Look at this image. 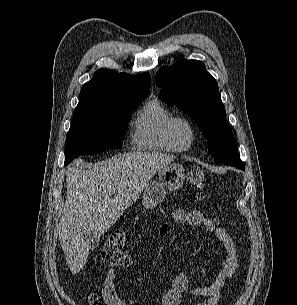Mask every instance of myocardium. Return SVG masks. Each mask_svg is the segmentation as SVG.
<instances>
[{
	"label": "myocardium",
	"instance_id": "1",
	"mask_svg": "<svg viewBox=\"0 0 297 305\" xmlns=\"http://www.w3.org/2000/svg\"><path fill=\"white\" fill-rule=\"evenodd\" d=\"M180 123L184 124L189 131V137L186 143H182L176 134V127ZM167 132L171 142L179 151L189 150L196 138V128L194 123L190 119L183 116H175L172 118L168 123Z\"/></svg>",
	"mask_w": 297,
	"mask_h": 305
}]
</instances>
